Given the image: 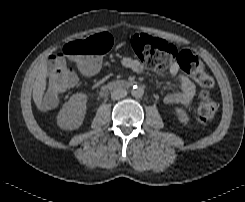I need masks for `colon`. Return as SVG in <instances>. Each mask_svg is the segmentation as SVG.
Segmentation results:
<instances>
[{"label": "colon", "instance_id": "obj_1", "mask_svg": "<svg viewBox=\"0 0 245 202\" xmlns=\"http://www.w3.org/2000/svg\"><path fill=\"white\" fill-rule=\"evenodd\" d=\"M113 43L114 39L110 34L101 33L84 41L64 44L51 57L48 75L49 93L45 95V99L52 96L59 98L71 89L74 81L71 64L88 73L90 61L87 57L104 54ZM129 46L132 54L154 72H162L171 63H178L183 71L194 75L200 86L206 90L202 93L197 106L198 120L206 123L216 116L219 105L209 91L214 87V81L204 72V64L199 57L186 49L178 48L169 41L140 33L130 36Z\"/></svg>", "mask_w": 245, "mask_h": 202}]
</instances>
